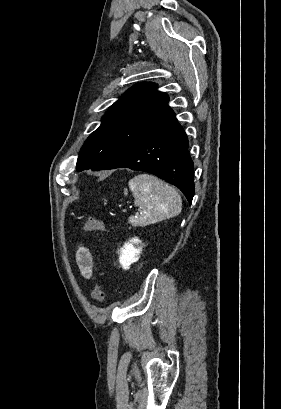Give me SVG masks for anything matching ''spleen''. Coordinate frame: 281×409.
<instances>
[{"label": "spleen", "mask_w": 281, "mask_h": 409, "mask_svg": "<svg viewBox=\"0 0 281 409\" xmlns=\"http://www.w3.org/2000/svg\"><path fill=\"white\" fill-rule=\"evenodd\" d=\"M136 207L143 210L138 217H129L133 227L155 225L165 219L177 217L182 211L180 194L168 182L152 174H137L129 180Z\"/></svg>", "instance_id": "3e777b00"}]
</instances>
